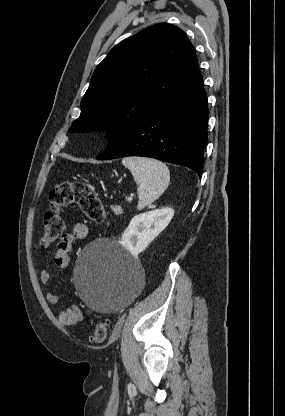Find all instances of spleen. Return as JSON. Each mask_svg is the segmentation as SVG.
<instances>
[{"label": "spleen", "instance_id": "obj_1", "mask_svg": "<svg viewBox=\"0 0 285 416\" xmlns=\"http://www.w3.org/2000/svg\"><path fill=\"white\" fill-rule=\"evenodd\" d=\"M123 166L130 170L138 188L139 202L137 210H143L158 200L167 190L170 182V172L162 162L152 158H123Z\"/></svg>", "mask_w": 285, "mask_h": 416}]
</instances>
